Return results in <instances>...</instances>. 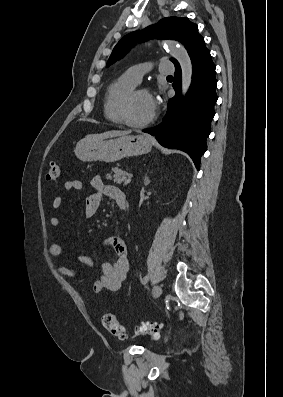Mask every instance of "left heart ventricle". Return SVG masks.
<instances>
[{"label":"left heart ventricle","mask_w":283,"mask_h":397,"mask_svg":"<svg viewBox=\"0 0 283 397\" xmlns=\"http://www.w3.org/2000/svg\"><path fill=\"white\" fill-rule=\"evenodd\" d=\"M151 108V96L140 92L132 100L130 106V117L135 122H142L153 115Z\"/></svg>","instance_id":"1"}]
</instances>
